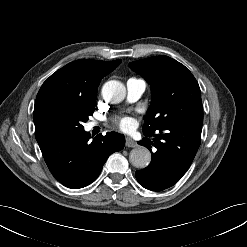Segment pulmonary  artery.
<instances>
[{"label":"pulmonary artery","mask_w":247,"mask_h":247,"mask_svg":"<svg viewBox=\"0 0 247 247\" xmlns=\"http://www.w3.org/2000/svg\"><path fill=\"white\" fill-rule=\"evenodd\" d=\"M127 89V100L129 102H135L141 98L145 89H146V82L142 79L131 78L126 83ZM96 125V122L90 123V127Z\"/></svg>","instance_id":"1"}]
</instances>
